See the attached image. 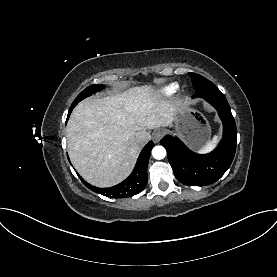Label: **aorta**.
<instances>
[{
	"label": "aorta",
	"instance_id": "762f6f07",
	"mask_svg": "<svg viewBox=\"0 0 277 277\" xmlns=\"http://www.w3.org/2000/svg\"><path fill=\"white\" fill-rule=\"evenodd\" d=\"M152 156L158 160L165 158V156H166L165 148L163 146H155L152 149Z\"/></svg>",
	"mask_w": 277,
	"mask_h": 277
}]
</instances>
